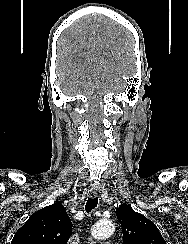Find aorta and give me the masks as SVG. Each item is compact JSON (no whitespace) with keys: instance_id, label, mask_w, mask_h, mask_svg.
<instances>
[{"instance_id":"obj_1","label":"aorta","mask_w":188,"mask_h":244,"mask_svg":"<svg viewBox=\"0 0 188 244\" xmlns=\"http://www.w3.org/2000/svg\"><path fill=\"white\" fill-rule=\"evenodd\" d=\"M115 227L111 221L97 222L92 228V236L96 239H104L111 236Z\"/></svg>"}]
</instances>
